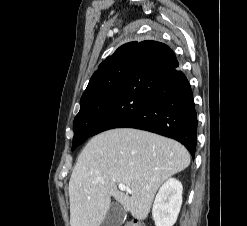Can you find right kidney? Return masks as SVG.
I'll use <instances>...</instances> for the list:
<instances>
[{
    "label": "right kidney",
    "mask_w": 247,
    "mask_h": 226,
    "mask_svg": "<svg viewBox=\"0 0 247 226\" xmlns=\"http://www.w3.org/2000/svg\"><path fill=\"white\" fill-rule=\"evenodd\" d=\"M183 186L175 178L168 179L159 189L152 208L155 226H173L182 205Z\"/></svg>",
    "instance_id": "1"
}]
</instances>
